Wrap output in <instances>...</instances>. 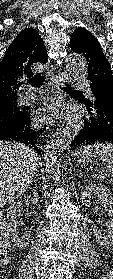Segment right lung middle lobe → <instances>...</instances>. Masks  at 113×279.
<instances>
[{
  "label": "right lung middle lobe",
  "instance_id": "right-lung-middle-lobe-1",
  "mask_svg": "<svg viewBox=\"0 0 113 279\" xmlns=\"http://www.w3.org/2000/svg\"><path fill=\"white\" fill-rule=\"evenodd\" d=\"M24 112V110L17 107L16 103L0 108V125L20 120L23 117Z\"/></svg>",
  "mask_w": 113,
  "mask_h": 279
}]
</instances>
